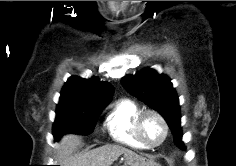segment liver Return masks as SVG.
Instances as JSON below:
<instances>
[{"label": "liver", "instance_id": "liver-1", "mask_svg": "<svg viewBox=\"0 0 236 166\" xmlns=\"http://www.w3.org/2000/svg\"><path fill=\"white\" fill-rule=\"evenodd\" d=\"M80 143L81 138L77 135L67 134L62 137L58 150V159L61 166H111L121 155H124L125 165L149 166L153 163L119 145H105L85 153L73 155Z\"/></svg>", "mask_w": 236, "mask_h": 166}]
</instances>
